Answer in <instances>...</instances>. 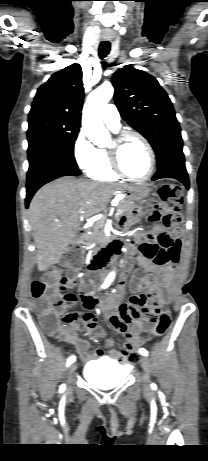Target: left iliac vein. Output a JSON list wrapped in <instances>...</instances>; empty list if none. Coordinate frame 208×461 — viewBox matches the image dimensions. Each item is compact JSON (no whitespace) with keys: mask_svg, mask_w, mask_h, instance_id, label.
I'll return each mask as SVG.
<instances>
[{"mask_svg":"<svg viewBox=\"0 0 208 461\" xmlns=\"http://www.w3.org/2000/svg\"><path fill=\"white\" fill-rule=\"evenodd\" d=\"M139 361H140L141 367L144 370V377H143L144 388L147 389L149 387V383H150V375H149L150 363H149L148 358L145 357V356H141Z\"/></svg>","mask_w":208,"mask_h":461,"instance_id":"1","label":"left iliac vein"}]
</instances>
